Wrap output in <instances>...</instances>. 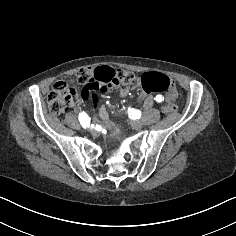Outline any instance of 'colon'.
Returning <instances> with one entry per match:
<instances>
[{"label": "colon", "instance_id": "obj_1", "mask_svg": "<svg viewBox=\"0 0 236 236\" xmlns=\"http://www.w3.org/2000/svg\"><path fill=\"white\" fill-rule=\"evenodd\" d=\"M139 80L143 91L147 94L167 93V103L162 109L165 114L177 110L174 103L177 91L174 82L169 77L161 73L146 72L139 78L132 72L115 70L107 66L81 69L77 74V82L82 85L81 90L65 81L54 83L47 98L48 108L53 115H61L71 111L79 98L83 101L96 102L100 93L118 86H130Z\"/></svg>", "mask_w": 236, "mask_h": 236}]
</instances>
